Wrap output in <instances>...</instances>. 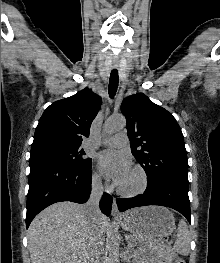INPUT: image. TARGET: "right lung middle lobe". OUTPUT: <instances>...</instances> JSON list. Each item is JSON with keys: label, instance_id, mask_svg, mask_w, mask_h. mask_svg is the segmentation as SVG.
Segmentation results:
<instances>
[{"label": "right lung middle lobe", "instance_id": "1", "mask_svg": "<svg viewBox=\"0 0 220 263\" xmlns=\"http://www.w3.org/2000/svg\"><path fill=\"white\" fill-rule=\"evenodd\" d=\"M79 147L66 149H47L30 155V158H45L74 167H86L91 164L90 158Z\"/></svg>", "mask_w": 220, "mask_h": 263}]
</instances>
